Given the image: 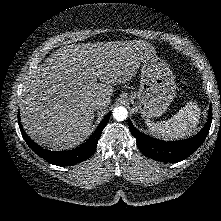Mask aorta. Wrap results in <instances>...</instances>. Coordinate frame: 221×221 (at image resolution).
<instances>
[{
    "label": "aorta",
    "instance_id": "762f6f07",
    "mask_svg": "<svg viewBox=\"0 0 221 221\" xmlns=\"http://www.w3.org/2000/svg\"><path fill=\"white\" fill-rule=\"evenodd\" d=\"M127 115H128V111L123 106L115 107L114 110H113V117L117 121L125 120L127 118Z\"/></svg>",
    "mask_w": 221,
    "mask_h": 221
}]
</instances>
